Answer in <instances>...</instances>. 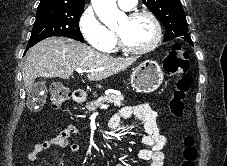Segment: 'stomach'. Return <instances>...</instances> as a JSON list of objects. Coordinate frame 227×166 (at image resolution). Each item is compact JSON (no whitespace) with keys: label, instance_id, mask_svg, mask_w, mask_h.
<instances>
[{"label":"stomach","instance_id":"obj_1","mask_svg":"<svg viewBox=\"0 0 227 166\" xmlns=\"http://www.w3.org/2000/svg\"><path fill=\"white\" fill-rule=\"evenodd\" d=\"M163 77L160 65L156 61L146 60L133 71L131 85L138 92L151 93L161 85Z\"/></svg>","mask_w":227,"mask_h":166}]
</instances>
